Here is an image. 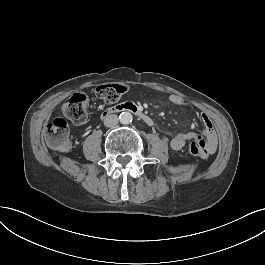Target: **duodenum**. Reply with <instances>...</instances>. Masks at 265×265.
<instances>
[{"mask_svg": "<svg viewBox=\"0 0 265 265\" xmlns=\"http://www.w3.org/2000/svg\"><path fill=\"white\" fill-rule=\"evenodd\" d=\"M124 111H130L134 113L137 117H139L144 123H146L150 127L154 125L153 118L133 103H120L115 106H112L106 109L102 113V118L104 119L112 114L122 113Z\"/></svg>", "mask_w": 265, "mask_h": 265, "instance_id": "1", "label": "duodenum"}]
</instances>
